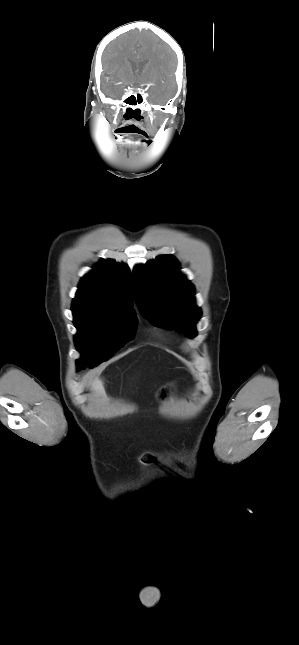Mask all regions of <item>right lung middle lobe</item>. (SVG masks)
<instances>
[{
	"mask_svg": "<svg viewBox=\"0 0 299 645\" xmlns=\"http://www.w3.org/2000/svg\"><path fill=\"white\" fill-rule=\"evenodd\" d=\"M72 311L78 330L74 341L82 354L77 360L79 371L108 359L133 337L137 320L130 312L73 308Z\"/></svg>",
	"mask_w": 299,
	"mask_h": 645,
	"instance_id": "obj_1",
	"label": "right lung middle lobe"
}]
</instances>
